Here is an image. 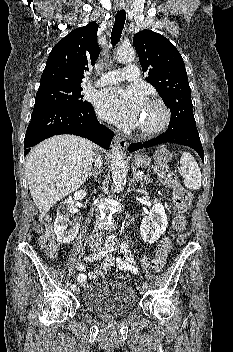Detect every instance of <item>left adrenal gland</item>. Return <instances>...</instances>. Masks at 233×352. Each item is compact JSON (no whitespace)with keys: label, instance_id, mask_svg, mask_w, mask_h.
I'll return each instance as SVG.
<instances>
[{"label":"left adrenal gland","instance_id":"obj_1","mask_svg":"<svg viewBox=\"0 0 233 352\" xmlns=\"http://www.w3.org/2000/svg\"><path fill=\"white\" fill-rule=\"evenodd\" d=\"M133 183L135 184L136 182L142 183V181L139 179V177L136 175L135 172H133Z\"/></svg>","mask_w":233,"mask_h":352}]
</instances>
